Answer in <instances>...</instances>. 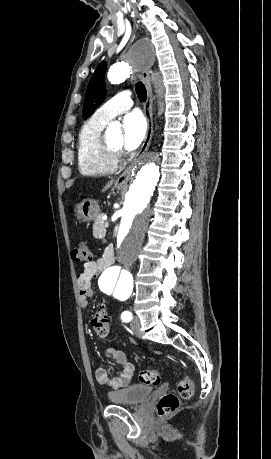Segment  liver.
Here are the masks:
<instances>
[{"mask_svg":"<svg viewBox=\"0 0 271 459\" xmlns=\"http://www.w3.org/2000/svg\"><path fill=\"white\" fill-rule=\"evenodd\" d=\"M114 180H110V182H108V184H106L105 188H103L102 192H106V190H108V188H110V186H112Z\"/></svg>","mask_w":271,"mask_h":459,"instance_id":"obj_1","label":"liver"}]
</instances>
